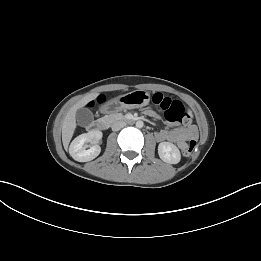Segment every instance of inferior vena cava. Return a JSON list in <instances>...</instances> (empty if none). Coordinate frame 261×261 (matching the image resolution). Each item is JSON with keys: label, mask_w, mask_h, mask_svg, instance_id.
<instances>
[{"label": "inferior vena cava", "mask_w": 261, "mask_h": 261, "mask_svg": "<svg viewBox=\"0 0 261 261\" xmlns=\"http://www.w3.org/2000/svg\"><path fill=\"white\" fill-rule=\"evenodd\" d=\"M126 126V123L124 121H117L112 125V130L113 131H119L123 127Z\"/></svg>", "instance_id": "602c4592"}]
</instances>
